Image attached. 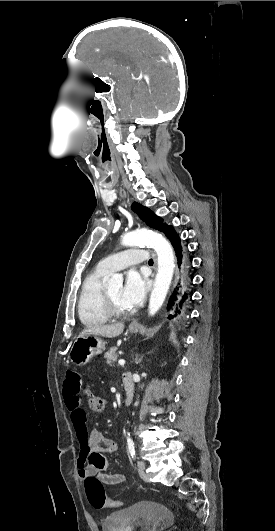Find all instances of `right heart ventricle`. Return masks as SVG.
<instances>
[{"label": "right heart ventricle", "instance_id": "right-heart-ventricle-1", "mask_svg": "<svg viewBox=\"0 0 275 531\" xmlns=\"http://www.w3.org/2000/svg\"><path fill=\"white\" fill-rule=\"evenodd\" d=\"M104 273V270H97L88 274L79 290L78 315L81 322L89 327L103 325L110 318L103 302Z\"/></svg>", "mask_w": 275, "mask_h": 531}]
</instances>
